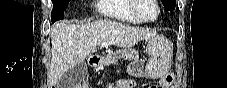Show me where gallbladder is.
<instances>
[{"instance_id":"obj_1","label":"gallbladder","mask_w":227,"mask_h":88,"mask_svg":"<svg viewBox=\"0 0 227 88\" xmlns=\"http://www.w3.org/2000/svg\"><path fill=\"white\" fill-rule=\"evenodd\" d=\"M87 74L85 62H81L63 74L57 82V88H73L80 84Z\"/></svg>"}]
</instances>
